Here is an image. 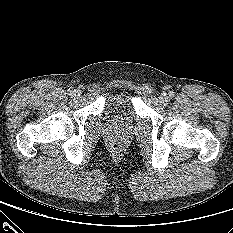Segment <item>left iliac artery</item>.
I'll list each match as a JSON object with an SVG mask.
<instances>
[{"label": "left iliac artery", "instance_id": "1", "mask_svg": "<svg viewBox=\"0 0 233 233\" xmlns=\"http://www.w3.org/2000/svg\"><path fill=\"white\" fill-rule=\"evenodd\" d=\"M174 95H175V94H174L173 91H170V92H169V96H170V97H174Z\"/></svg>", "mask_w": 233, "mask_h": 233}]
</instances>
